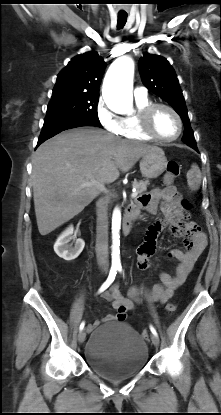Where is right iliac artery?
<instances>
[{"mask_svg":"<svg viewBox=\"0 0 221 415\" xmlns=\"http://www.w3.org/2000/svg\"><path fill=\"white\" fill-rule=\"evenodd\" d=\"M117 270H118V269H117V267H111L110 272H109V275H108V278H107V280H106V281L102 284V286L100 287V289H99L98 293L103 292L105 289H107V288H108V287L112 284V282L114 281V279H115V277H116ZM84 326H85V323H84V322H82V323L80 324V327H79L80 331H81V330H83Z\"/></svg>","mask_w":221,"mask_h":415,"instance_id":"82829eb1","label":"right iliac artery"}]
</instances>
